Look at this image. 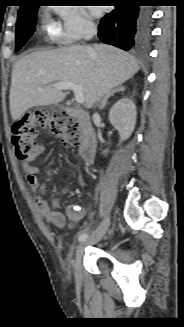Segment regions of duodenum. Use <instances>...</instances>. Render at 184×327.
<instances>
[{
  "label": "duodenum",
  "instance_id": "duodenum-1",
  "mask_svg": "<svg viewBox=\"0 0 184 327\" xmlns=\"http://www.w3.org/2000/svg\"><path fill=\"white\" fill-rule=\"evenodd\" d=\"M64 111L78 120L84 135L79 147V153L85 163H92L95 157L97 139L89 114L84 110H78L69 106L64 107Z\"/></svg>",
  "mask_w": 184,
  "mask_h": 327
}]
</instances>
